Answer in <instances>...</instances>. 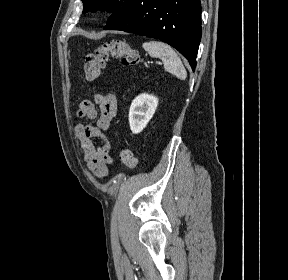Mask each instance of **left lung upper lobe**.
<instances>
[{"label":"left lung upper lobe","instance_id":"5c2ea615","mask_svg":"<svg viewBox=\"0 0 288 280\" xmlns=\"http://www.w3.org/2000/svg\"><path fill=\"white\" fill-rule=\"evenodd\" d=\"M83 1V13L89 11H95V9L101 11H107L112 13L107 23H113L125 13L128 7L134 0H82Z\"/></svg>","mask_w":288,"mask_h":280}]
</instances>
